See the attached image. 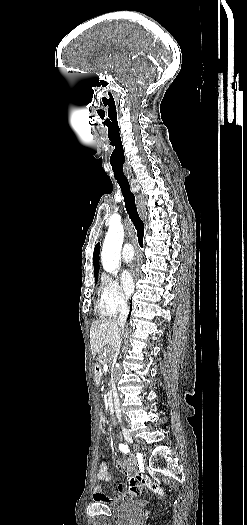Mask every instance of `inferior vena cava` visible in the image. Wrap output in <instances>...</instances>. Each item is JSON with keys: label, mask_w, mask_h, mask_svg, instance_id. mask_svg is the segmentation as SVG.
Listing matches in <instances>:
<instances>
[{"label": "inferior vena cava", "mask_w": 247, "mask_h": 525, "mask_svg": "<svg viewBox=\"0 0 247 525\" xmlns=\"http://www.w3.org/2000/svg\"><path fill=\"white\" fill-rule=\"evenodd\" d=\"M128 315H129V307H128L126 301H121L120 307H119V317L117 319V323H118V325H121L122 329H124V327H125V323L127 321ZM121 341H122V339H120V341H118V343H117L116 355H118V353L120 351ZM113 375H115V373H113ZM115 393H116V391H115Z\"/></svg>", "instance_id": "obj_1"}]
</instances>
